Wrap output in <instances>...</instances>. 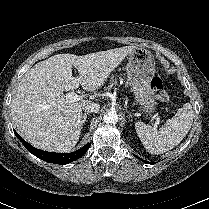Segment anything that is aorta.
I'll list each match as a JSON object with an SVG mask.
<instances>
[{
	"instance_id": "1",
	"label": "aorta",
	"mask_w": 209,
	"mask_h": 209,
	"mask_svg": "<svg viewBox=\"0 0 209 209\" xmlns=\"http://www.w3.org/2000/svg\"><path fill=\"white\" fill-rule=\"evenodd\" d=\"M103 121L107 124H116L118 121V115L115 111L109 110L103 117Z\"/></svg>"
}]
</instances>
